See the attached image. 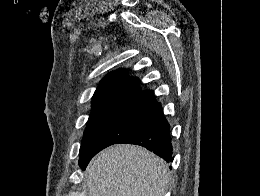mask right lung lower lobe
Returning <instances> with one entry per match:
<instances>
[{"label": "right lung lower lobe", "mask_w": 260, "mask_h": 196, "mask_svg": "<svg viewBox=\"0 0 260 196\" xmlns=\"http://www.w3.org/2000/svg\"><path fill=\"white\" fill-rule=\"evenodd\" d=\"M149 113L157 118L141 129L131 133L118 143L136 144L145 147L166 162L173 161V148L170 137V126L163 117L160 103L154 101L145 107ZM100 150L80 149L79 164L85 168L90 159Z\"/></svg>", "instance_id": "right-lung-lower-lobe-1"}]
</instances>
